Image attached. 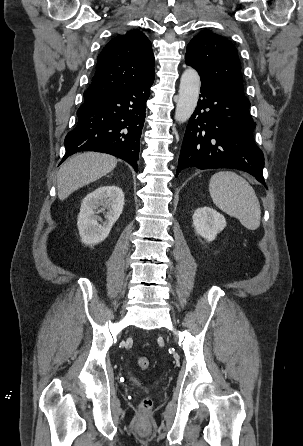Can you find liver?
<instances>
[{
  "label": "liver",
  "mask_w": 303,
  "mask_h": 446,
  "mask_svg": "<svg viewBox=\"0 0 303 446\" xmlns=\"http://www.w3.org/2000/svg\"><path fill=\"white\" fill-rule=\"evenodd\" d=\"M117 165V159L111 155L98 152L77 154L67 160L57 175L58 198L65 200L74 191L92 183Z\"/></svg>",
  "instance_id": "6515ba94"
}]
</instances>
